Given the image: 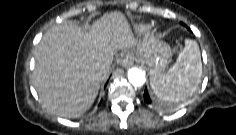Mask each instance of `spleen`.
Masks as SVG:
<instances>
[{"label":"spleen","mask_w":236,"mask_h":135,"mask_svg":"<svg viewBox=\"0 0 236 135\" xmlns=\"http://www.w3.org/2000/svg\"><path fill=\"white\" fill-rule=\"evenodd\" d=\"M202 62L196 41L185 40L175 64L167 71L162 70L150 77L154 93L168 102L184 101L192 96L201 82Z\"/></svg>","instance_id":"obj_1"}]
</instances>
